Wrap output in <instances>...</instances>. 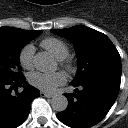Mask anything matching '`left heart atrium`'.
Returning <instances> with one entry per match:
<instances>
[{
    "label": "left heart atrium",
    "instance_id": "1",
    "mask_svg": "<svg viewBox=\"0 0 128 128\" xmlns=\"http://www.w3.org/2000/svg\"><path fill=\"white\" fill-rule=\"evenodd\" d=\"M29 81L33 86L39 88L42 91L52 92L58 86L63 85L66 81V78L60 72L52 74L35 72L30 75Z\"/></svg>",
    "mask_w": 128,
    "mask_h": 128
}]
</instances>
